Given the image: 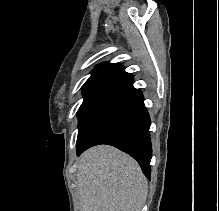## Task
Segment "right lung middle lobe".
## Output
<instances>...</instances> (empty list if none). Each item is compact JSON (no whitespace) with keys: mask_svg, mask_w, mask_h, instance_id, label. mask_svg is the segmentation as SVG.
Segmentation results:
<instances>
[{"mask_svg":"<svg viewBox=\"0 0 219 211\" xmlns=\"http://www.w3.org/2000/svg\"><path fill=\"white\" fill-rule=\"evenodd\" d=\"M109 91L107 90H101V91H95L90 93H85L84 95V101L81 104L77 115L79 119L78 123V137L83 132L84 128L88 124L90 118L96 111V109L99 107L101 102L104 100V98L107 96Z\"/></svg>","mask_w":219,"mask_h":211,"instance_id":"right-lung-middle-lobe-1","label":"right lung middle lobe"}]
</instances>
